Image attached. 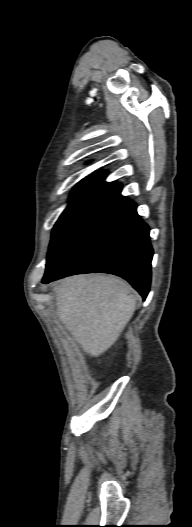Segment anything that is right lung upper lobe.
<instances>
[{"label": "right lung upper lobe", "mask_w": 192, "mask_h": 527, "mask_svg": "<svg viewBox=\"0 0 192 527\" xmlns=\"http://www.w3.org/2000/svg\"><path fill=\"white\" fill-rule=\"evenodd\" d=\"M105 179V172H98L94 174L93 176H90L88 178L82 179L79 183L83 182H103Z\"/></svg>", "instance_id": "1"}]
</instances>
